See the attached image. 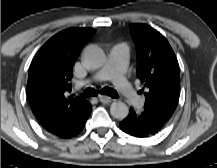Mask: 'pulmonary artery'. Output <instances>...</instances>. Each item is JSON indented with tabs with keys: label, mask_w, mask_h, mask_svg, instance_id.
<instances>
[{
	"label": "pulmonary artery",
	"mask_w": 217,
	"mask_h": 168,
	"mask_svg": "<svg viewBox=\"0 0 217 168\" xmlns=\"http://www.w3.org/2000/svg\"><path fill=\"white\" fill-rule=\"evenodd\" d=\"M128 59L129 50L127 46L122 43H116L110 49L107 63L87 78L85 83L110 80L128 104L139 107L143 99L136 93L125 77Z\"/></svg>",
	"instance_id": "obj_1"
}]
</instances>
